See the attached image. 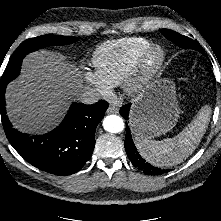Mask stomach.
<instances>
[{"instance_id":"1","label":"stomach","mask_w":221,"mask_h":221,"mask_svg":"<svg viewBox=\"0 0 221 221\" xmlns=\"http://www.w3.org/2000/svg\"><path fill=\"white\" fill-rule=\"evenodd\" d=\"M179 115L174 82L155 78L132 101L129 124L136 137L151 139L171 131Z\"/></svg>"}]
</instances>
